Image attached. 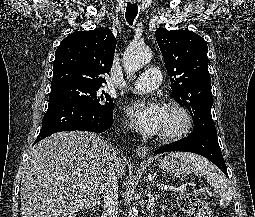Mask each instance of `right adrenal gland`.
<instances>
[{
  "instance_id": "1",
  "label": "right adrenal gland",
  "mask_w": 255,
  "mask_h": 217,
  "mask_svg": "<svg viewBox=\"0 0 255 217\" xmlns=\"http://www.w3.org/2000/svg\"><path fill=\"white\" fill-rule=\"evenodd\" d=\"M98 204H101V205H102V202H98Z\"/></svg>"
}]
</instances>
